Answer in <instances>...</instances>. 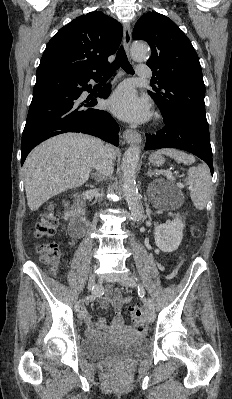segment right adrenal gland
Segmentation results:
<instances>
[{
	"label": "right adrenal gland",
	"instance_id": "2a0ac1e0",
	"mask_svg": "<svg viewBox=\"0 0 232 399\" xmlns=\"http://www.w3.org/2000/svg\"><path fill=\"white\" fill-rule=\"evenodd\" d=\"M102 176L96 172V174H90V180H95L96 184H99L101 182Z\"/></svg>",
	"mask_w": 232,
	"mask_h": 399
}]
</instances>
